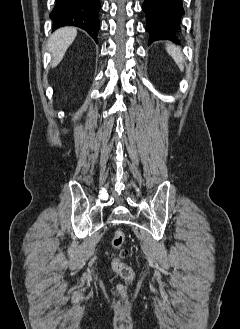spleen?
<instances>
[{
  "mask_svg": "<svg viewBox=\"0 0 240 329\" xmlns=\"http://www.w3.org/2000/svg\"><path fill=\"white\" fill-rule=\"evenodd\" d=\"M168 54L174 59L181 71L184 70V57L181 52V49L175 45L168 44L166 47Z\"/></svg>",
  "mask_w": 240,
  "mask_h": 329,
  "instance_id": "1",
  "label": "spleen"
}]
</instances>
